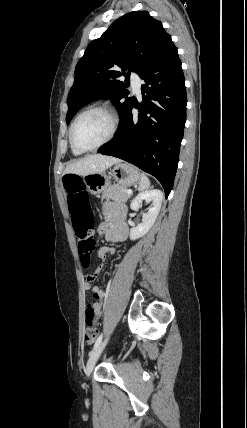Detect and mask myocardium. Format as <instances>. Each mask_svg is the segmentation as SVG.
Wrapping results in <instances>:
<instances>
[{"label":"myocardium","instance_id":"myocardium-1","mask_svg":"<svg viewBox=\"0 0 247 428\" xmlns=\"http://www.w3.org/2000/svg\"><path fill=\"white\" fill-rule=\"evenodd\" d=\"M92 111H101L103 113H105L108 118L110 119V131L107 135V137L100 142L99 144L93 146V147H80L76 144L75 140H74V129L76 126L77 121L85 114L92 112ZM118 127H119V117L117 115V113L109 106L104 105V104H95V105H91L87 108H85L84 110H82L81 112H79L76 117L74 118L71 126H70V130H69V140H70V144L73 148H75L78 151L81 152H91V151H95L101 147H103L104 145L108 144L116 135L117 131H118Z\"/></svg>","mask_w":247,"mask_h":428}]
</instances>
